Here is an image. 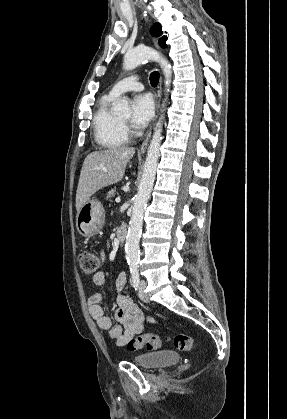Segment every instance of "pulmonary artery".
<instances>
[{
    "instance_id": "1",
    "label": "pulmonary artery",
    "mask_w": 287,
    "mask_h": 419,
    "mask_svg": "<svg viewBox=\"0 0 287 419\" xmlns=\"http://www.w3.org/2000/svg\"><path fill=\"white\" fill-rule=\"evenodd\" d=\"M143 89V84L137 81L135 76L126 77L118 81L110 90V95L118 97L120 94L128 91H140Z\"/></svg>"
}]
</instances>
